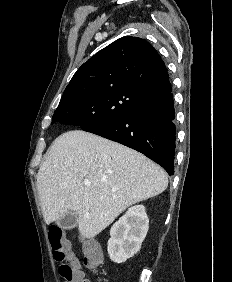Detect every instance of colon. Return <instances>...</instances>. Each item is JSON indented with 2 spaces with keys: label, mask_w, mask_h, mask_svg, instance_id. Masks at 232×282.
<instances>
[{
  "label": "colon",
  "mask_w": 232,
  "mask_h": 282,
  "mask_svg": "<svg viewBox=\"0 0 232 282\" xmlns=\"http://www.w3.org/2000/svg\"><path fill=\"white\" fill-rule=\"evenodd\" d=\"M49 242L52 248L54 259L61 263L58 271L65 282H80L81 269L74 257L67 253L66 243L63 238V231L59 227H51L48 232ZM83 262L87 268H96L101 261V252L99 248L91 242L86 241L83 249ZM69 260V263L65 261Z\"/></svg>",
  "instance_id": "obj_1"
}]
</instances>
